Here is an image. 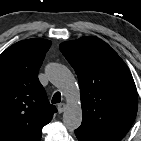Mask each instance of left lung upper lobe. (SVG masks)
<instances>
[{
  "label": "left lung upper lobe",
  "mask_w": 141,
  "mask_h": 141,
  "mask_svg": "<svg viewBox=\"0 0 141 141\" xmlns=\"http://www.w3.org/2000/svg\"><path fill=\"white\" fill-rule=\"evenodd\" d=\"M80 87L83 120L75 130L91 141H120L137 114L133 77L119 55L97 37L60 44Z\"/></svg>",
  "instance_id": "5c2ea615"
}]
</instances>
